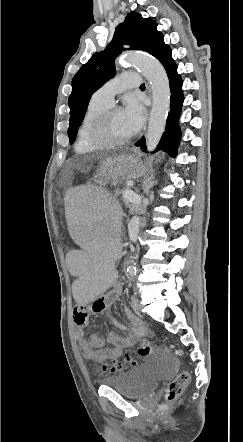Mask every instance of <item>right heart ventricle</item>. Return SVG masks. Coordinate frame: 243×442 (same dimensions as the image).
Returning <instances> with one entry per match:
<instances>
[{"instance_id": "right-heart-ventricle-1", "label": "right heart ventricle", "mask_w": 243, "mask_h": 442, "mask_svg": "<svg viewBox=\"0 0 243 442\" xmlns=\"http://www.w3.org/2000/svg\"><path fill=\"white\" fill-rule=\"evenodd\" d=\"M109 107H111V105L97 101L92 96L84 111L83 117L77 130L76 141L74 144V150L76 153L87 154L100 149V147L96 146L90 140L88 130L91 122Z\"/></svg>"}]
</instances>
